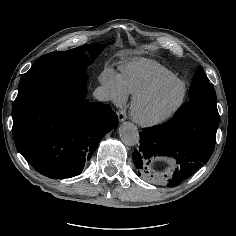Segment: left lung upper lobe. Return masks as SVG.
I'll list each match as a JSON object with an SVG mask.
<instances>
[{
  "label": "left lung upper lobe",
  "mask_w": 236,
  "mask_h": 236,
  "mask_svg": "<svg viewBox=\"0 0 236 236\" xmlns=\"http://www.w3.org/2000/svg\"><path fill=\"white\" fill-rule=\"evenodd\" d=\"M188 95V102L194 100H206L216 103L214 87L209 83V79L201 66L193 76Z\"/></svg>",
  "instance_id": "left-lung-upper-lobe-1"
}]
</instances>
